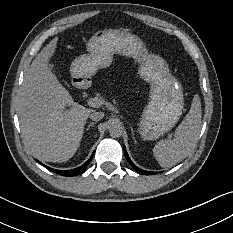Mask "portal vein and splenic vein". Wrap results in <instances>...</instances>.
<instances>
[{"mask_svg":"<svg viewBox=\"0 0 233 233\" xmlns=\"http://www.w3.org/2000/svg\"><path fill=\"white\" fill-rule=\"evenodd\" d=\"M105 99L103 97H94L89 100V105L94 108L103 107L105 105Z\"/></svg>","mask_w":233,"mask_h":233,"instance_id":"18ae733b","label":"portal vein and splenic vein"}]
</instances>
